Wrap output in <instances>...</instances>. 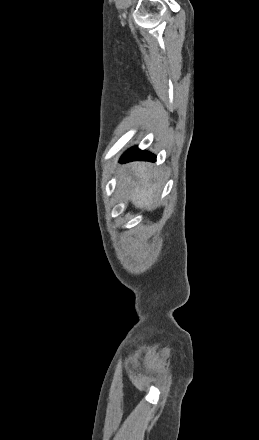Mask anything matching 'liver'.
Instances as JSON below:
<instances>
[{"label": "liver", "instance_id": "6515ba94", "mask_svg": "<svg viewBox=\"0 0 259 440\" xmlns=\"http://www.w3.org/2000/svg\"><path fill=\"white\" fill-rule=\"evenodd\" d=\"M131 170L135 180L127 178L124 174L120 177V181H123V186L127 190V198L137 208L147 210L154 208L158 199L159 185L151 184V179L156 177V172L147 163H135L131 165Z\"/></svg>", "mask_w": 259, "mask_h": 440}]
</instances>
